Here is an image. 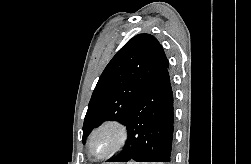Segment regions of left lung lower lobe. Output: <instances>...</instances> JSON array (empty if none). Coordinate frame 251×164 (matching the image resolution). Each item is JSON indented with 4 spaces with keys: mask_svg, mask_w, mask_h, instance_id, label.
<instances>
[{
    "mask_svg": "<svg viewBox=\"0 0 251 164\" xmlns=\"http://www.w3.org/2000/svg\"><path fill=\"white\" fill-rule=\"evenodd\" d=\"M173 94L168 68L142 91L125 125L123 151L107 162H170L173 141Z\"/></svg>",
    "mask_w": 251,
    "mask_h": 164,
    "instance_id": "1",
    "label": "left lung lower lobe"
}]
</instances>
